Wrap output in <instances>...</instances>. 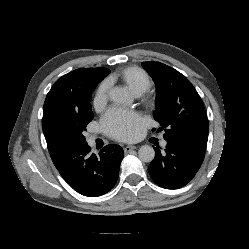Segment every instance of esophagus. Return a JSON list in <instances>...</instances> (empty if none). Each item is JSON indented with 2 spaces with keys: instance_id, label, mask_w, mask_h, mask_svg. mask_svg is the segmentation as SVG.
I'll use <instances>...</instances> for the list:
<instances>
[{
  "instance_id": "1",
  "label": "esophagus",
  "mask_w": 249,
  "mask_h": 249,
  "mask_svg": "<svg viewBox=\"0 0 249 249\" xmlns=\"http://www.w3.org/2000/svg\"><path fill=\"white\" fill-rule=\"evenodd\" d=\"M136 149V146L133 145H127L123 148L124 152L127 154L129 152H131L132 150Z\"/></svg>"
}]
</instances>
